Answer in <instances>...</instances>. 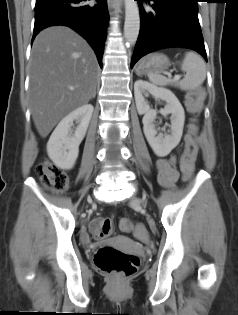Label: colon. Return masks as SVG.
Instances as JSON below:
<instances>
[{"label": "colon", "instance_id": "obj_1", "mask_svg": "<svg viewBox=\"0 0 238 315\" xmlns=\"http://www.w3.org/2000/svg\"><path fill=\"white\" fill-rule=\"evenodd\" d=\"M202 99V91H195L189 95L187 106L192 113L196 114L200 112ZM197 130V126L193 124L190 128V133L186 136L184 150L180 157L179 166L185 178H189L193 172L194 161L198 150L195 138ZM36 173L46 186L55 191L62 192L68 187V175L53 163H40L36 167ZM120 229L125 232H133L139 239H146L148 236L144 225L139 223L134 224L128 219L121 220ZM90 230L95 238H106L112 233V221L108 217L96 218L92 221ZM94 262L99 270L114 280L123 281L135 274L140 261L135 255L126 254L111 246H102L96 252Z\"/></svg>", "mask_w": 238, "mask_h": 315}]
</instances>
